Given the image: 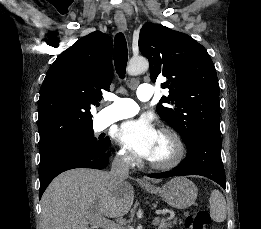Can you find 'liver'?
<instances>
[{
  "label": "liver",
  "instance_id": "liver-1",
  "mask_svg": "<svg viewBox=\"0 0 261 229\" xmlns=\"http://www.w3.org/2000/svg\"><path fill=\"white\" fill-rule=\"evenodd\" d=\"M133 199L132 185L127 181L115 185L107 171L71 169L47 187L41 199V229H89V223L96 225L98 219L127 215Z\"/></svg>",
  "mask_w": 261,
  "mask_h": 229
}]
</instances>
